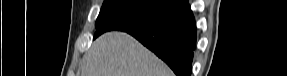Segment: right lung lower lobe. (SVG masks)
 Returning a JSON list of instances; mask_svg holds the SVG:
<instances>
[{
	"label": "right lung lower lobe",
	"instance_id": "right-lung-lower-lobe-1",
	"mask_svg": "<svg viewBox=\"0 0 287 76\" xmlns=\"http://www.w3.org/2000/svg\"><path fill=\"white\" fill-rule=\"evenodd\" d=\"M127 33L164 60L177 76L191 75L196 27L188 0L180 1L146 27Z\"/></svg>",
	"mask_w": 287,
	"mask_h": 76
}]
</instances>
